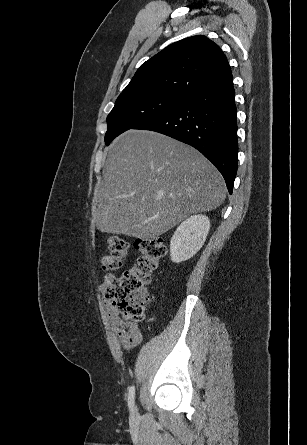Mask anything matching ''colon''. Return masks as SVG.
Listing matches in <instances>:
<instances>
[{
    "label": "colon",
    "mask_w": 307,
    "mask_h": 445,
    "mask_svg": "<svg viewBox=\"0 0 307 445\" xmlns=\"http://www.w3.org/2000/svg\"><path fill=\"white\" fill-rule=\"evenodd\" d=\"M136 244L139 257L135 265L111 281L105 293L113 308L131 322L145 319L150 302L147 286L166 253L165 243L160 238L140 239ZM108 245L109 253L101 256V266L106 272L116 271L122 267L129 245L119 236H110Z\"/></svg>",
    "instance_id": "5ec220e1"
}]
</instances>
